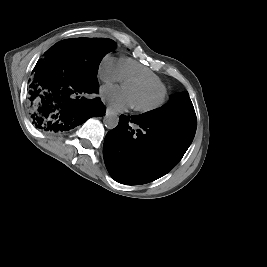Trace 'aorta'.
Wrapping results in <instances>:
<instances>
[{
  "label": "aorta",
  "instance_id": "1",
  "mask_svg": "<svg viewBox=\"0 0 267 267\" xmlns=\"http://www.w3.org/2000/svg\"><path fill=\"white\" fill-rule=\"evenodd\" d=\"M119 122V117L114 113H107L104 116L103 123L107 129H114Z\"/></svg>",
  "mask_w": 267,
  "mask_h": 267
}]
</instances>
